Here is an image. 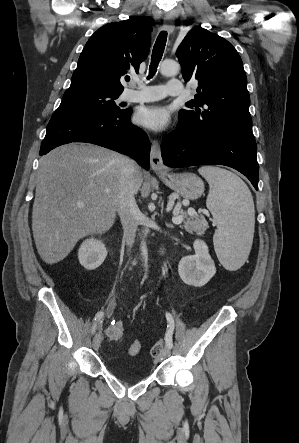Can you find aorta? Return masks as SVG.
I'll return each instance as SVG.
<instances>
[{
  "label": "aorta",
  "mask_w": 299,
  "mask_h": 443,
  "mask_svg": "<svg viewBox=\"0 0 299 443\" xmlns=\"http://www.w3.org/2000/svg\"><path fill=\"white\" fill-rule=\"evenodd\" d=\"M180 71V65L176 61L173 60H164L160 64V73L164 76H175ZM141 256L144 261L147 260L148 252H147V245L146 241L143 240L141 242Z\"/></svg>",
  "instance_id": "obj_1"
}]
</instances>
